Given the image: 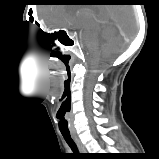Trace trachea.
Returning a JSON list of instances; mask_svg holds the SVG:
<instances>
[{
    "label": "trachea",
    "mask_w": 159,
    "mask_h": 159,
    "mask_svg": "<svg viewBox=\"0 0 159 159\" xmlns=\"http://www.w3.org/2000/svg\"><path fill=\"white\" fill-rule=\"evenodd\" d=\"M65 141L67 142V144L71 147V149L73 151H77L76 145L74 143V141L72 140L70 133H62Z\"/></svg>",
    "instance_id": "trachea-1"
}]
</instances>
